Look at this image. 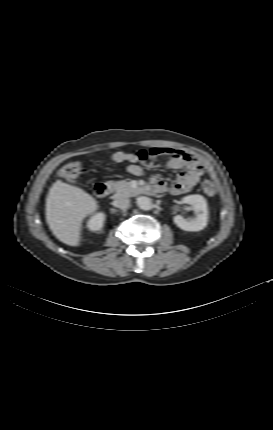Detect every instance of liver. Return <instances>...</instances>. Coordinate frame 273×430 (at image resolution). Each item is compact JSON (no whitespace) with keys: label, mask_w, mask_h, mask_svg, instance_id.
Returning a JSON list of instances; mask_svg holds the SVG:
<instances>
[{"label":"liver","mask_w":273,"mask_h":430,"mask_svg":"<svg viewBox=\"0 0 273 430\" xmlns=\"http://www.w3.org/2000/svg\"><path fill=\"white\" fill-rule=\"evenodd\" d=\"M98 209L83 189L57 180L46 198V220L53 234L69 246H79L84 219Z\"/></svg>","instance_id":"6515ba94"}]
</instances>
